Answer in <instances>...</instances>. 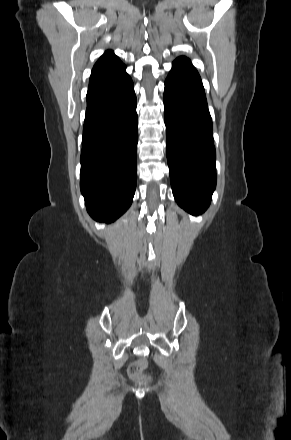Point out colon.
I'll list each match as a JSON object with an SVG mask.
<instances>
[{
    "instance_id": "5ec220e1",
    "label": "colon",
    "mask_w": 291,
    "mask_h": 440,
    "mask_svg": "<svg viewBox=\"0 0 291 440\" xmlns=\"http://www.w3.org/2000/svg\"><path fill=\"white\" fill-rule=\"evenodd\" d=\"M145 368L146 362L144 360H137L129 365L128 373L137 382H144L148 380Z\"/></svg>"
}]
</instances>
